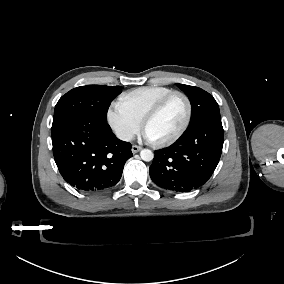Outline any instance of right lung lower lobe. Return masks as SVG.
I'll use <instances>...</instances> for the list:
<instances>
[{
  "mask_svg": "<svg viewBox=\"0 0 284 284\" xmlns=\"http://www.w3.org/2000/svg\"><path fill=\"white\" fill-rule=\"evenodd\" d=\"M53 154L64 180L84 192H98L116 185L131 144L119 140L102 118L68 117L52 127Z\"/></svg>",
  "mask_w": 284,
  "mask_h": 284,
  "instance_id": "obj_1",
  "label": "right lung lower lobe"
}]
</instances>
